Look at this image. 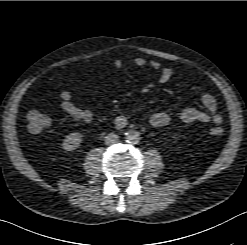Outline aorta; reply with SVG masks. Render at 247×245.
Segmentation results:
<instances>
[{"instance_id":"obj_1","label":"aorta","mask_w":247,"mask_h":245,"mask_svg":"<svg viewBox=\"0 0 247 245\" xmlns=\"http://www.w3.org/2000/svg\"><path fill=\"white\" fill-rule=\"evenodd\" d=\"M125 138L130 143H138L141 139L140 133L135 130H129L125 133Z\"/></svg>"}]
</instances>
